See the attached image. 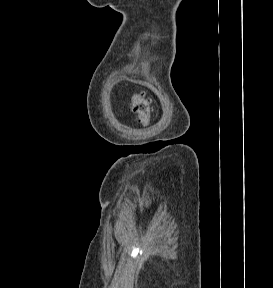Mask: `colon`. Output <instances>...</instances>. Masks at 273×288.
<instances>
[{"label":"colon","instance_id":"1","mask_svg":"<svg viewBox=\"0 0 273 288\" xmlns=\"http://www.w3.org/2000/svg\"><path fill=\"white\" fill-rule=\"evenodd\" d=\"M132 110L137 115L138 121L142 125H147L151 118L150 100L142 93L132 96Z\"/></svg>","mask_w":273,"mask_h":288}]
</instances>
